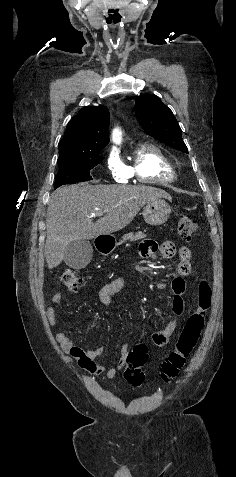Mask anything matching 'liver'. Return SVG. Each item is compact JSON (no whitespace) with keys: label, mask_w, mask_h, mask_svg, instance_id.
Listing matches in <instances>:
<instances>
[{"label":"liver","mask_w":236,"mask_h":477,"mask_svg":"<svg viewBox=\"0 0 236 477\" xmlns=\"http://www.w3.org/2000/svg\"><path fill=\"white\" fill-rule=\"evenodd\" d=\"M170 195L151 186L89 185L63 186L50 197L47 211L45 258L49 269L64 259L70 242L109 235L131 223L148 202ZM103 212L95 223L91 213Z\"/></svg>","instance_id":"6515ba94"}]
</instances>
